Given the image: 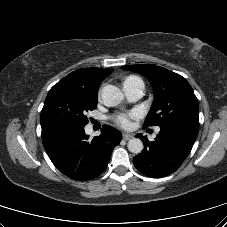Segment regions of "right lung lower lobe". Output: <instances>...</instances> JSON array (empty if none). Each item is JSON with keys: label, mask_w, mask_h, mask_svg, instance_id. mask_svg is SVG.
<instances>
[{"label": "right lung lower lobe", "mask_w": 227, "mask_h": 227, "mask_svg": "<svg viewBox=\"0 0 227 227\" xmlns=\"http://www.w3.org/2000/svg\"><path fill=\"white\" fill-rule=\"evenodd\" d=\"M84 127L55 124L42 128L43 146L57 169L77 181L99 176L107 167L122 134L105 125L101 135L88 140Z\"/></svg>", "instance_id": "98d812e1"}]
</instances>
